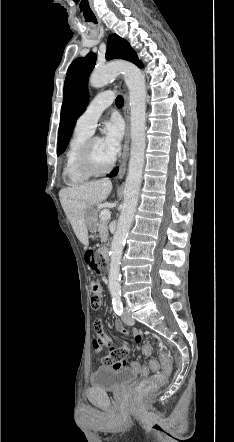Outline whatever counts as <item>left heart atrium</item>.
<instances>
[{
    "label": "left heart atrium",
    "instance_id": "obj_1",
    "mask_svg": "<svg viewBox=\"0 0 234 442\" xmlns=\"http://www.w3.org/2000/svg\"><path fill=\"white\" fill-rule=\"evenodd\" d=\"M102 143L105 151L115 158L120 150V144L124 134L122 121L118 117H112L104 125Z\"/></svg>",
    "mask_w": 234,
    "mask_h": 442
}]
</instances>
